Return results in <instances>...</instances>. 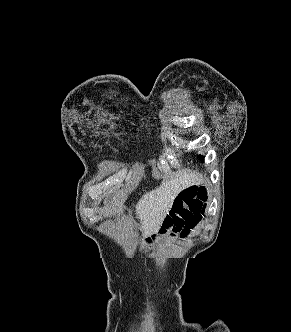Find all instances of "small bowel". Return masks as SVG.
<instances>
[{
    "instance_id": "c3829d8e",
    "label": "small bowel",
    "mask_w": 291,
    "mask_h": 332,
    "mask_svg": "<svg viewBox=\"0 0 291 332\" xmlns=\"http://www.w3.org/2000/svg\"><path fill=\"white\" fill-rule=\"evenodd\" d=\"M198 188L197 186L195 185H188L186 186L182 191H185V192H194L196 191Z\"/></svg>"
}]
</instances>
